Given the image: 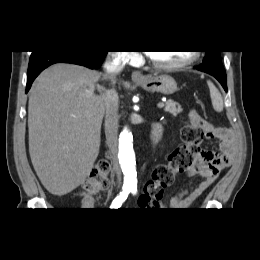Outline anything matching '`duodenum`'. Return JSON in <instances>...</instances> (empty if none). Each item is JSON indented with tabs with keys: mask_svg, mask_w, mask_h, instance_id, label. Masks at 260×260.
I'll list each match as a JSON object with an SVG mask.
<instances>
[{
	"mask_svg": "<svg viewBox=\"0 0 260 260\" xmlns=\"http://www.w3.org/2000/svg\"><path fill=\"white\" fill-rule=\"evenodd\" d=\"M163 126L160 122H154L151 125L148 142L150 147H155L161 139Z\"/></svg>",
	"mask_w": 260,
	"mask_h": 260,
	"instance_id": "1",
	"label": "duodenum"
}]
</instances>
